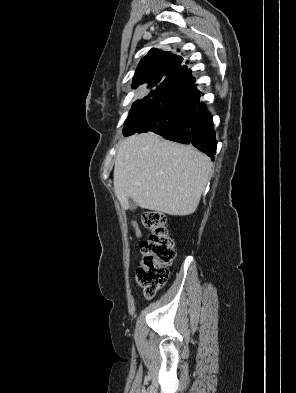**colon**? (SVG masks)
<instances>
[{
	"label": "colon",
	"instance_id": "colon-1",
	"mask_svg": "<svg viewBox=\"0 0 296 393\" xmlns=\"http://www.w3.org/2000/svg\"><path fill=\"white\" fill-rule=\"evenodd\" d=\"M144 227L150 232L140 242L141 258L137 268V281L147 297H152L166 283L168 266L175 258L174 241L170 237L166 217L158 211H145L141 215ZM136 234L139 231L133 224Z\"/></svg>",
	"mask_w": 296,
	"mask_h": 393
}]
</instances>
